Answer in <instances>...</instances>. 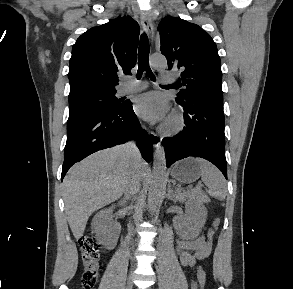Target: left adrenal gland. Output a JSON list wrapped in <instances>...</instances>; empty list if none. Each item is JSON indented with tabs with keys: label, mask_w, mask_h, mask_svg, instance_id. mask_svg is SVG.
<instances>
[{
	"label": "left adrenal gland",
	"mask_w": 293,
	"mask_h": 289,
	"mask_svg": "<svg viewBox=\"0 0 293 289\" xmlns=\"http://www.w3.org/2000/svg\"><path fill=\"white\" fill-rule=\"evenodd\" d=\"M173 194H174V191L171 188V184H169V186H168V193H167V197H168L169 200H172L173 199L172 198L173 197Z\"/></svg>",
	"instance_id": "left-adrenal-gland-1"
}]
</instances>
